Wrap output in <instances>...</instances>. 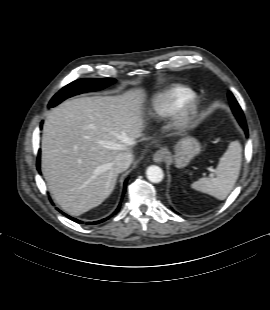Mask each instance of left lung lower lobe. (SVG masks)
<instances>
[{"mask_svg":"<svg viewBox=\"0 0 270 310\" xmlns=\"http://www.w3.org/2000/svg\"><path fill=\"white\" fill-rule=\"evenodd\" d=\"M245 130V132H246V134H247V129H244Z\"/></svg>","mask_w":270,"mask_h":310,"instance_id":"obj_1","label":"left lung lower lobe"}]
</instances>
